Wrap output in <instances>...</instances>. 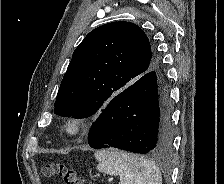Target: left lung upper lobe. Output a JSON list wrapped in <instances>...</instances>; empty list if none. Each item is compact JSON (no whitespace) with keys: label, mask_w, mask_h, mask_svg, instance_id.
Returning a JSON list of instances; mask_svg holds the SVG:
<instances>
[{"label":"left lung upper lobe","mask_w":224,"mask_h":184,"mask_svg":"<svg viewBox=\"0 0 224 184\" xmlns=\"http://www.w3.org/2000/svg\"><path fill=\"white\" fill-rule=\"evenodd\" d=\"M158 68L157 54L139 26L123 21L102 25L75 49L54 113L86 118L103 111L117 94Z\"/></svg>","instance_id":"obj_1"}]
</instances>
